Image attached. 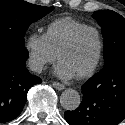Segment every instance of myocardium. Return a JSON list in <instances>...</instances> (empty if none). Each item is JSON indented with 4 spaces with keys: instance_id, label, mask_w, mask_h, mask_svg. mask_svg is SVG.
Instances as JSON below:
<instances>
[{
    "instance_id": "1",
    "label": "myocardium",
    "mask_w": 125,
    "mask_h": 125,
    "mask_svg": "<svg viewBox=\"0 0 125 125\" xmlns=\"http://www.w3.org/2000/svg\"><path fill=\"white\" fill-rule=\"evenodd\" d=\"M86 31H93L97 35V38H98V51H97V55H96L95 60L92 63V65L85 72H83V73H81L79 75H76L75 76L76 79H85V78H88V77L92 76L93 73L96 71L99 63H100V60H101V57H102V53H103V38H102V35H101V32L99 31V29H97L94 26L87 25V26H85V27L75 31L67 39V41L60 47V49L58 50V52L56 54L58 60H60L61 55L65 51L70 49L73 46V44L75 43V41L78 39V37L81 34H83L84 32H86Z\"/></svg>"
}]
</instances>
